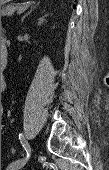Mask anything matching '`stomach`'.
Returning a JSON list of instances; mask_svg holds the SVG:
<instances>
[{
	"label": "stomach",
	"mask_w": 109,
	"mask_h": 170,
	"mask_svg": "<svg viewBox=\"0 0 109 170\" xmlns=\"http://www.w3.org/2000/svg\"><path fill=\"white\" fill-rule=\"evenodd\" d=\"M12 0H1V5H5L9 2H11Z\"/></svg>",
	"instance_id": "1"
}]
</instances>
